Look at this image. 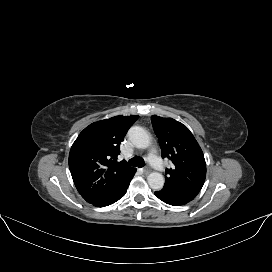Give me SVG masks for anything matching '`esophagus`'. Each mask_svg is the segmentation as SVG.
<instances>
[{"instance_id": "obj_1", "label": "esophagus", "mask_w": 272, "mask_h": 272, "mask_svg": "<svg viewBox=\"0 0 272 272\" xmlns=\"http://www.w3.org/2000/svg\"><path fill=\"white\" fill-rule=\"evenodd\" d=\"M150 171H151V169H150L149 167H145V168L143 169V172H144L145 174H148Z\"/></svg>"}]
</instances>
